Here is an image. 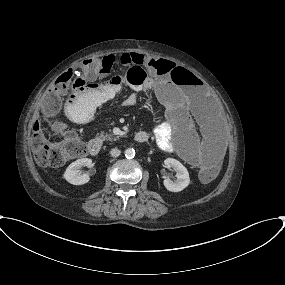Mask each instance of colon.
Returning <instances> with one entry per match:
<instances>
[{
  "label": "colon",
  "mask_w": 285,
  "mask_h": 285,
  "mask_svg": "<svg viewBox=\"0 0 285 285\" xmlns=\"http://www.w3.org/2000/svg\"><path fill=\"white\" fill-rule=\"evenodd\" d=\"M119 61L114 56L102 59H90L84 63L79 71H68L61 74L53 83L51 89L38 103L39 118L36 120L31 135V147L35 161L41 166H60L66 162L86 155L87 149L77 133L67 130H55L50 136L45 134L44 123L48 122L57 128L53 116L60 110L62 98L69 89H76L91 80L101 79L110 74ZM156 67L160 75H169L179 86H186L191 74L170 61L157 60L140 61L126 64V71L116 76L117 82L131 84L133 87L142 88L148 83L146 68ZM220 170L219 161L201 168L200 177L204 181L212 180Z\"/></svg>",
  "instance_id": "colon-1"
}]
</instances>
